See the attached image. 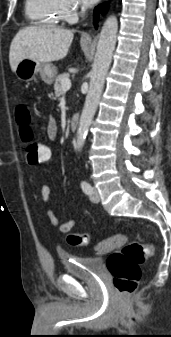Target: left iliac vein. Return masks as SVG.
<instances>
[{
    "mask_svg": "<svg viewBox=\"0 0 171 337\" xmlns=\"http://www.w3.org/2000/svg\"><path fill=\"white\" fill-rule=\"evenodd\" d=\"M90 200H91L92 202H95V203H97V202L100 201L99 191H98V189L95 188V187L92 189V192H91V195H90Z\"/></svg>",
    "mask_w": 171,
    "mask_h": 337,
    "instance_id": "obj_1",
    "label": "left iliac vein"
}]
</instances>
